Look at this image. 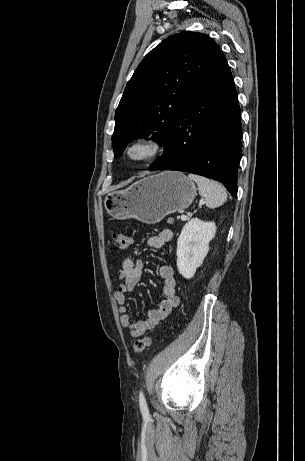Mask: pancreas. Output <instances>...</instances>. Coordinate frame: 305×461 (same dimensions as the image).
I'll return each instance as SVG.
<instances>
[{
  "label": "pancreas",
  "instance_id": "pancreas-1",
  "mask_svg": "<svg viewBox=\"0 0 305 461\" xmlns=\"http://www.w3.org/2000/svg\"><path fill=\"white\" fill-rule=\"evenodd\" d=\"M173 221H174L173 218H169V219L167 220V222H168L169 224L173 223Z\"/></svg>",
  "mask_w": 305,
  "mask_h": 461
}]
</instances>
